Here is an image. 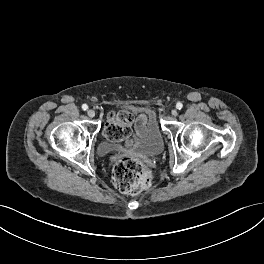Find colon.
Returning <instances> with one entry per match:
<instances>
[{
  "mask_svg": "<svg viewBox=\"0 0 264 264\" xmlns=\"http://www.w3.org/2000/svg\"><path fill=\"white\" fill-rule=\"evenodd\" d=\"M132 115L127 111L112 114L104 133L111 140L125 139L131 130ZM149 169L138 159L132 157L119 158L112 169V182L123 193H138L152 185Z\"/></svg>",
  "mask_w": 264,
  "mask_h": 264,
  "instance_id": "5ec220e1",
  "label": "colon"
}]
</instances>
